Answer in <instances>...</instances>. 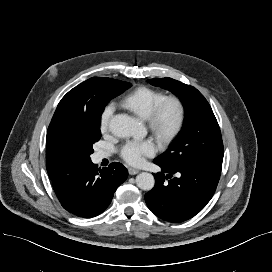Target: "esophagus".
I'll use <instances>...</instances> for the list:
<instances>
[{
  "mask_svg": "<svg viewBox=\"0 0 272 272\" xmlns=\"http://www.w3.org/2000/svg\"><path fill=\"white\" fill-rule=\"evenodd\" d=\"M128 172H129L130 175H135V174L139 173L140 170L135 169V168H129Z\"/></svg>",
  "mask_w": 272,
  "mask_h": 272,
  "instance_id": "obj_1",
  "label": "esophagus"
}]
</instances>
